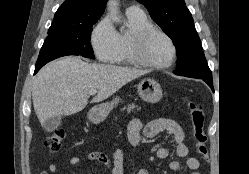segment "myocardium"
I'll return each mask as SVG.
<instances>
[{"mask_svg":"<svg viewBox=\"0 0 249 174\" xmlns=\"http://www.w3.org/2000/svg\"><path fill=\"white\" fill-rule=\"evenodd\" d=\"M155 34L163 36L172 47V57L166 63H154L148 60L144 55V49L148 39ZM129 52L136 64L151 69L168 68L175 62L177 58V46L172 37L162 29L154 26L145 27L132 35L129 42Z\"/></svg>","mask_w":249,"mask_h":174,"instance_id":"f54148a6","label":"myocardium"}]
</instances>
